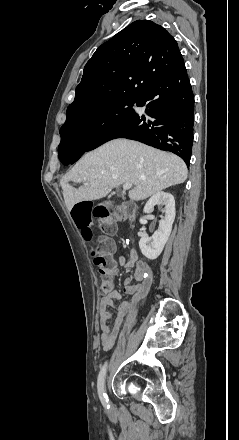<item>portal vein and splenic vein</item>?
Returning a JSON list of instances; mask_svg holds the SVG:
<instances>
[{
  "label": "portal vein and splenic vein",
  "mask_w": 239,
  "mask_h": 440,
  "mask_svg": "<svg viewBox=\"0 0 239 440\" xmlns=\"http://www.w3.org/2000/svg\"><path fill=\"white\" fill-rule=\"evenodd\" d=\"M85 186H87V184H85ZM130 188H132V184H124L123 186V190H130Z\"/></svg>",
  "instance_id": "1"
}]
</instances>
